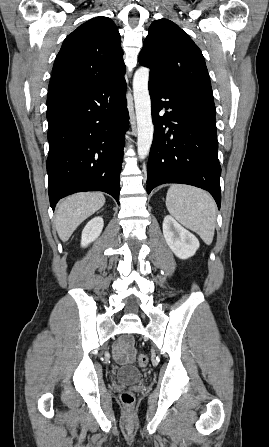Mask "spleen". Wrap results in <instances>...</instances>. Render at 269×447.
Segmentation results:
<instances>
[{
    "label": "spleen",
    "mask_w": 269,
    "mask_h": 447,
    "mask_svg": "<svg viewBox=\"0 0 269 447\" xmlns=\"http://www.w3.org/2000/svg\"><path fill=\"white\" fill-rule=\"evenodd\" d=\"M166 208L180 224L196 231L207 245L212 243L216 206L208 192L193 186L173 184L167 192Z\"/></svg>",
    "instance_id": "3e777b00"
}]
</instances>
